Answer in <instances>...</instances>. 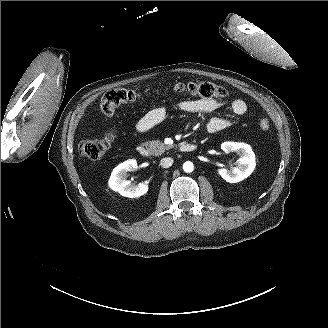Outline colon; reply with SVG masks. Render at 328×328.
I'll list each match as a JSON object with an SVG mask.
<instances>
[{"label": "colon", "mask_w": 328, "mask_h": 328, "mask_svg": "<svg viewBox=\"0 0 328 328\" xmlns=\"http://www.w3.org/2000/svg\"><path fill=\"white\" fill-rule=\"evenodd\" d=\"M168 91L179 94L186 93L196 95L216 101L223 100L227 97V91L225 88L211 82L177 83L171 88L157 89L154 92L149 90L135 91L126 88H116L104 94L101 99L100 109L105 116L109 117L112 116L116 109L121 105L135 103L147 99L152 95H158ZM259 126L262 130L267 131L270 127V123L267 119L262 118L259 121ZM112 141V134H106L101 139L84 140L79 145V153L88 159H100L107 153Z\"/></svg>", "instance_id": "5ec220e1"}]
</instances>
